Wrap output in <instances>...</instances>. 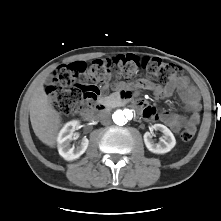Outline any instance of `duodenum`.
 Returning <instances> with one entry per match:
<instances>
[{"label": "duodenum", "instance_id": "410a0bca", "mask_svg": "<svg viewBox=\"0 0 221 221\" xmlns=\"http://www.w3.org/2000/svg\"><path fill=\"white\" fill-rule=\"evenodd\" d=\"M116 100L119 102H128L137 108H141L142 103L144 102V101H140V100L131 99L130 94L128 92L118 93L116 95ZM105 109H106V106L104 104H102L101 102L97 101V102L92 103V105L90 107L85 108L81 112V116L85 120H93L96 117L97 112L103 111Z\"/></svg>", "mask_w": 221, "mask_h": 221}]
</instances>
